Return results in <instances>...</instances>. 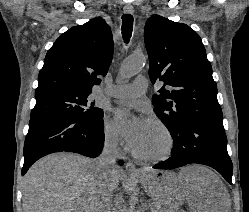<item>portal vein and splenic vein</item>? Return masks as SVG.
I'll use <instances>...</instances> for the list:
<instances>
[{
    "label": "portal vein and splenic vein",
    "instance_id": "18ae733b",
    "mask_svg": "<svg viewBox=\"0 0 249 212\" xmlns=\"http://www.w3.org/2000/svg\"><path fill=\"white\" fill-rule=\"evenodd\" d=\"M151 212H157V210H151Z\"/></svg>",
    "mask_w": 249,
    "mask_h": 212
}]
</instances>
